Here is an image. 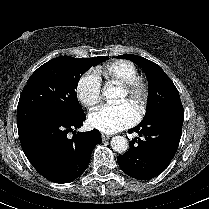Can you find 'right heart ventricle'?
Listing matches in <instances>:
<instances>
[{"label": "right heart ventricle", "instance_id": "obj_1", "mask_svg": "<svg viewBox=\"0 0 209 209\" xmlns=\"http://www.w3.org/2000/svg\"><path fill=\"white\" fill-rule=\"evenodd\" d=\"M99 76L111 83L123 85L138 75L136 66L128 60H116L97 70Z\"/></svg>", "mask_w": 209, "mask_h": 209}]
</instances>
